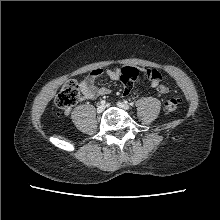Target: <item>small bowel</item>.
Listing matches in <instances>:
<instances>
[{"label": "small bowel", "instance_id": "1", "mask_svg": "<svg viewBox=\"0 0 220 220\" xmlns=\"http://www.w3.org/2000/svg\"><path fill=\"white\" fill-rule=\"evenodd\" d=\"M107 76L111 80H119L120 69H102L97 68L90 72L81 82L80 89L84 98L95 99L98 96L106 95L109 93V89L106 87H97L95 85L96 80L101 76ZM147 75V71L144 72V76ZM160 84V80H151V87L157 88ZM124 95H127L123 93Z\"/></svg>", "mask_w": 220, "mask_h": 220}]
</instances>
